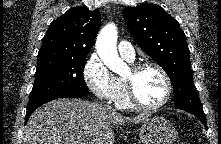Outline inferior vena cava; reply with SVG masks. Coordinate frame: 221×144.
Returning <instances> with one entry per match:
<instances>
[{"label": "inferior vena cava", "mask_w": 221, "mask_h": 144, "mask_svg": "<svg viewBox=\"0 0 221 144\" xmlns=\"http://www.w3.org/2000/svg\"><path fill=\"white\" fill-rule=\"evenodd\" d=\"M104 107L109 109L110 111H113V109L109 105H104Z\"/></svg>", "instance_id": "1"}]
</instances>
